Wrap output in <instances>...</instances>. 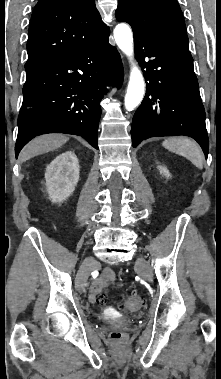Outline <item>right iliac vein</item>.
<instances>
[{"mask_svg": "<svg viewBox=\"0 0 221 379\" xmlns=\"http://www.w3.org/2000/svg\"><path fill=\"white\" fill-rule=\"evenodd\" d=\"M95 264V259L93 257H87L81 268H80V271L77 275V278H76V288L78 290H82L84 285H85V282L86 280L88 279L89 277V274L90 272L92 271L93 269V266Z\"/></svg>", "mask_w": 221, "mask_h": 379, "instance_id": "63e3f726", "label": "right iliac vein"}]
</instances>
